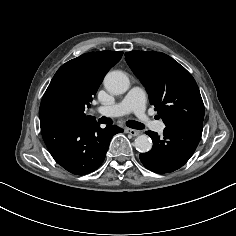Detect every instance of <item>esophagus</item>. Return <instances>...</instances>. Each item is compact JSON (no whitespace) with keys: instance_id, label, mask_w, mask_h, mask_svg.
Returning a JSON list of instances; mask_svg holds the SVG:
<instances>
[{"instance_id":"1","label":"esophagus","mask_w":236,"mask_h":236,"mask_svg":"<svg viewBox=\"0 0 236 236\" xmlns=\"http://www.w3.org/2000/svg\"><path fill=\"white\" fill-rule=\"evenodd\" d=\"M125 132L132 135V136H138L141 133L138 130H134V129H130V128H126Z\"/></svg>"}]
</instances>
